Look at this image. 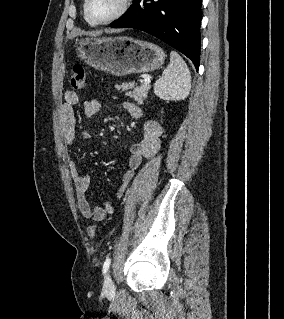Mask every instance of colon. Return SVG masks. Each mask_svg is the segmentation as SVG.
I'll return each instance as SVG.
<instances>
[{
	"mask_svg": "<svg viewBox=\"0 0 284 319\" xmlns=\"http://www.w3.org/2000/svg\"><path fill=\"white\" fill-rule=\"evenodd\" d=\"M70 82L74 89H85L87 87L88 79L86 70L81 64H75L72 67ZM87 232L90 237H93L96 234V226L89 225Z\"/></svg>",
	"mask_w": 284,
	"mask_h": 319,
	"instance_id": "5ec220e1",
	"label": "colon"
}]
</instances>
